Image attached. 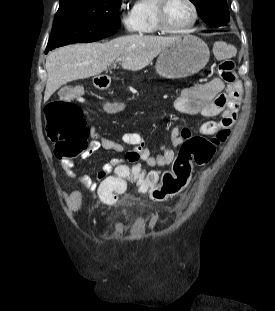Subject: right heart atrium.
Returning a JSON list of instances; mask_svg holds the SVG:
<instances>
[{
    "instance_id": "d8ad5b80",
    "label": "right heart atrium",
    "mask_w": 275,
    "mask_h": 311,
    "mask_svg": "<svg viewBox=\"0 0 275 311\" xmlns=\"http://www.w3.org/2000/svg\"><path fill=\"white\" fill-rule=\"evenodd\" d=\"M119 20L128 32H137L139 29V23L132 12L125 10L124 8L119 9Z\"/></svg>"
}]
</instances>
